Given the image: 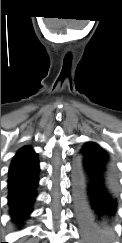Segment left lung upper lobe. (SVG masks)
Listing matches in <instances>:
<instances>
[{"instance_id": "1", "label": "left lung upper lobe", "mask_w": 122, "mask_h": 243, "mask_svg": "<svg viewBox=\"0 0 122 243\" xmlns=\"http://www.w3.org/2000/svg\"><path fill=\"white\" fill-rule=\"evenodd\" d=\"M97 148H100V147L95 143L90 142V143L85 144V146L80 151V158L87 156L89 151L95 150Z\"/></svg>"}]
</instances>
